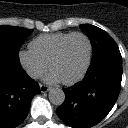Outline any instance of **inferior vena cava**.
Returning <instances> with one entry per match:
<instances>
[{
	"mask_svg": "<svg viewBox=\"0 0 128 128\" xmlns=\"http://www.w3.org/2000/svg\"><path fill=\"white\" fill-rule=\"evenodd\" d=\"M27 73L30 77L35 78V79H37L41 76V72L37 71L35 69H28Z\"/></svg>",
	"mask_w": 128,
	"mask_h": 128,
	"instance_id": "inferior-vena-cava-1",
	"label": "inferior vena cava"
}]
</instances>
